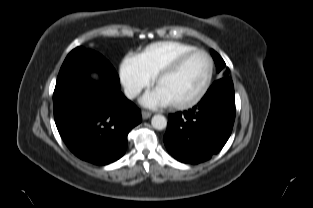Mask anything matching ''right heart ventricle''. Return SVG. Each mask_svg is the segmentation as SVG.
Returning <instances> with one entry per match:
<instances>
[{"label":"right heart ventricle","instance_id":"1","mask_svg":"<svg viewBox=\"0 0 313 208\" xmlns=\"http://www.w3.org/2000/svg\"><path fill=\"white\" fill-rule=\"evenodd\" d=\"M196 49V46L180 41H160L152 43L134 57L136 65L151 77L168 66L184 52Z\"/></svg>","mask_w":313,"mask_h":208}]
</instances>
